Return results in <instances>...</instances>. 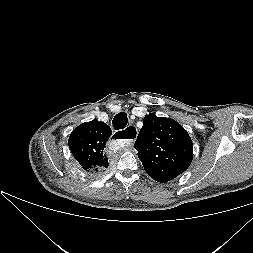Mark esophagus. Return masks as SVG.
Segmentation results:
<instances>
[{"label": "esophagus", "instance_id": "34e87169", "mask_svg": "<svg viewBox=\"0 0 253 253\" xmlns=\"http://www.w3.org/2000/svg\"><path fill=\"white\" fill-rule=\"evenodd\" d=\"M138 134L135 126L129 125L126 129L113 133L114 140L120 141L123 145L134 142Z\"/></svg>", "mask_w": 253, "mask_h": 253}]
</instances>
